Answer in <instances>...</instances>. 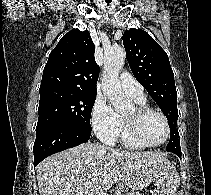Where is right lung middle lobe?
<instances>
[{
    "instance_id": "dd1d6c3e",
    "label": "right lung middle lobe",
    "mask_w": 211,
    "mask_h": 195,
    "mask_svg": "<svg viewBox=\"0 0 211 195\" xmlns=\"http://www.w3.org/2000/svg\"><path fill=\"white\" fill-rule=\"evenodd\" d=\"M95 99L96 93L74 90L40 92L36 133L54 126L78 127L91 131L90 117Z\"/></svg>"
}]
</instances>
